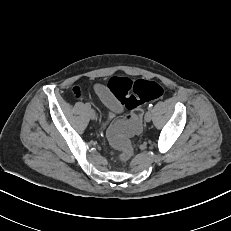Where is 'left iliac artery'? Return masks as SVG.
Masks as SVG:
<instances>
[{
  "label": "left iliac artery",
  "instance_id": "left-iliac-artery-1",
  "mask_svg": "<svg viewBox=\"0 0 231 231\" xmlns=\"http://www.w3.org/2000/svg\"><path fill=\"white\" fill-rule=\"evenodd\" d=\"M152 108H153V104H149L148 109H149V110H152Z\"/></svg>",
  "mask_w": 231,
  "mask_h": 231
}]
</instances>
